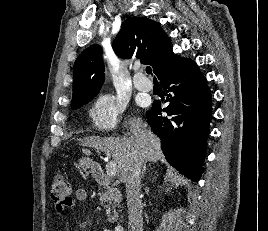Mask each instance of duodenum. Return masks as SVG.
<instances>
[{"instance_id": "obj_1", "label": "duodenum", "mask_w": 268, "mask_h": 231, "mask_svg": "<svg viewBox=\"0 0 268 231\" xmlns=\"http://www.w3.org/2000/svg\"><path fill=\"white\" fill-rule=\"evenodd\" d=\"M94 178L97 182L103 185H108L110 183V179L103 169H97L94 173ZM114 231H125V227L123 225H117Z\"/></svg>"}]
</instances>
